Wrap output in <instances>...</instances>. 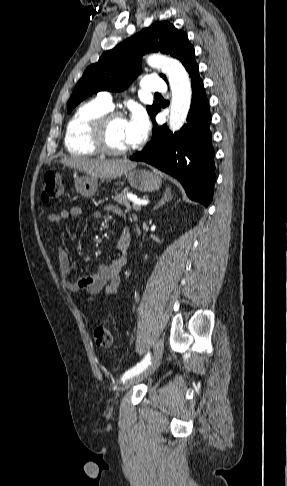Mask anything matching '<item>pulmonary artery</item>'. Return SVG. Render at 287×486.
Returning a JSON list of instances; mask_svg holds the SVG:
<instances>
[{
    "mask_svg": "<svg viewBox=\"0 0 287 486\" xmlns=\"http://www.w3.org/2000/svg\"><path fill=\"white\" fill-rule=\"evenodd\" d=\"M141 86L147 92H165L167 88L165 82L154 75L146 76L142 80ZM98 99L110 108L112 107V97L108 92H100Z\"/></svg>",
    "mask_w": 287,
    "mask_h": 486,
    "instance_id": "obj_1",
    "label": "pulmonary artery"
}]
</instances>
